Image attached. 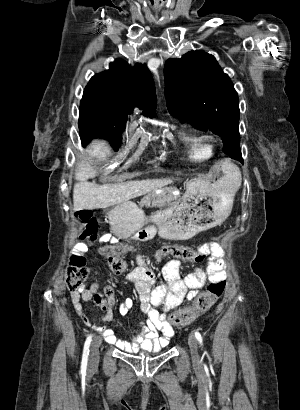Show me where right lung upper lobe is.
<instances>
[{"mask_svg":"<svg viewBox=\"0 0 300 410\" xmlns=\"http://www.w3.org/2000/svg\"><path fill=\"white\" fill-rule=\"evenodd\" d=\"M84 92L100 98L106 116L126 121L134 106L145 116L156 114L154 81L146 65L131 67L118 59L110 64L109 71L93 76Z\"/></svg>","mask_w":300,"mask_h":410,"instance_id":"obj_1","label":"right lung upper lobe"}]
</instances>
